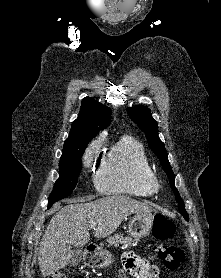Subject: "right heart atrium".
Instances as JSON below:
<instances>
[{"instance_id":"right-heart-atrium-1","label":"right heart atrium","mask_w":221,"mask_h":278,"mask_svg":"<svg viewBox=\"0 0 221 278\" xmlns=\"http://www.w3.org/2000/svg\"><path fill=\"white\" fill-rule=\"evenodd\" d=\"M102 146V139L100 137L93 140L85 150L83 156V163L86 167H91L99 157Z\"/></svg>"}]
</instances>
